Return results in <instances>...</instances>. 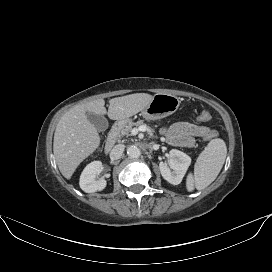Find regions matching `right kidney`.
<instances>
[{"label":"right kidney","instance_id":"obj_1","mask_svg":"<svg viewBox=\"0 0 272 272\" xmlns=\"http://www.w3.org/2000/svg\"><path fill=\"white\" fill-rule=\"evenodd\" d=\"M102 166L101 161H93L84 168L79 181L80 188L84 192L102 191L106 187V180L99 177Z\"/></svg>","mask_w":272,"mask_h":272}]
</instances>
